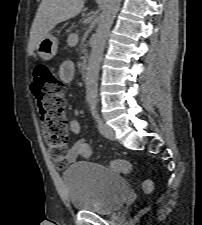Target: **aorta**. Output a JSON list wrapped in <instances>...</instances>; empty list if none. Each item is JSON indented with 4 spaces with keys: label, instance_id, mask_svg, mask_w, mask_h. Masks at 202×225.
<instances>
[{
    "label": "aorta",
    "instance_id": "aorta-1",
    "mask_svg": "<svg viewBox=\"0 0 202 225\" xmlns=\"http://www.w3.org/2000/svg\"><path fill=\"white\" fill-rule=\"evenodd\" d=\"M120 3L121 0H105L104 9L99 17V24L86 71V100L89 103H95L97 101L100 63L105 43Z\"/></svg>",
    "mask_w": 202,
    "mask_h": 225
}]
</instances>
